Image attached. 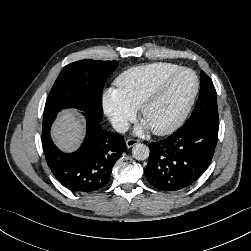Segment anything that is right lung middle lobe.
I'll return each instance as SVG.
<instances>
[{
    "mask_svg": "<svg viewBox=\"0 0 251 251\" xmlns=\"http://www.w3.org/2000/svg\"><path fill=\"white\" fill-rule=\"evenodd\" d=\"M117 61L81 60L65 66L46 100L44 113L77 108L102 119V91Z\"/></svg>",
    "mask_w": 251,
    "mask_h": 251,
    "instance_id": "1",
    "label": "right lung middle lobe"
}]
</instances>
